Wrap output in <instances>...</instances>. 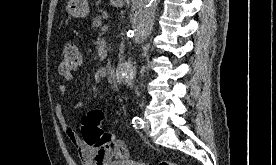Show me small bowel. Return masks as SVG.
Masks as SVG:
<instances>
[{
  "mask_svg": "<svg viewBox=\"0 0 276 165\" xmlns=\"http://www.w3.org/2000/svg\"><path fill=\"white\" fill-rule=\"evenodd\" d=\"M62 78L66 81H69L71 80L72 75H64L62 76ZM58 91L60 92V94H65L66 86L64 84H60L58 86ZM54 111L63 132L65 133L71 144L77 150L82 165H110L112 162L116 160H123L126 158L127 151L126 156L124 158L117 159L115 155L112 153H101L95 148L89 146L78 136L73 126L66 118L63 108L59 103H55ZM120 143L126 150L124 143L122 141Z\"/></svg>",
  "mask_w": 276,
  "mask_h": 165,
  "instance_id": "obj_1",
  "label": "small bowel"
}]
</instances>
